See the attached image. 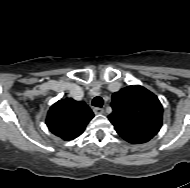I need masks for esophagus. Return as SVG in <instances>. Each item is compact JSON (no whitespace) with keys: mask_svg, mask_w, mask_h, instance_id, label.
<instances>
[{"mask_svg":"<svg viewBox=\"0 0 190 188\" xmlns=\"http://www.w3.org/2000/svg\"><path fill=\"white\" fill-rule=\"evenodd\" d=\"M95 114H103L104 113V109L103 108H99V107H95L93 109Z\"/></svg>","mask_w":190,"mask_h":188,"instance_id":"esophagus-1","label":"esophagus"}]
</instances>
